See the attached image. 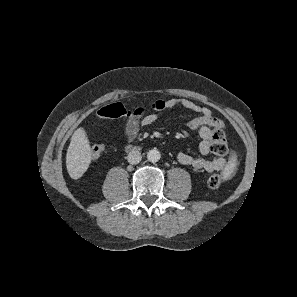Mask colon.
I'll use <instances>...</instances> for the list:
<instances>
[{
  "mask_svg": "<svg viewBox=\"0 0 297 297\" xmlns=\"http://www.w3.org/2000/svg\"><path fill=\"white\" fill-rule=\"evenodd\" d=\"M144 108L141 106L133 109L128 108L124 103L117 102L101 108L98 114L104 118H119L122 116H130L141 112ZM104 147L101 144L93 145L91 148L92 159H97L103 153ZM211 151L217 156H224L227 154L228 146L223 129L220 125L214 128L212 136ZM222 178L218 174H213L207 179V184L212 189H217L221 186Z\"/></svg>",
  "mask_w": 297,
  "mask_h": 297,
  "instance_id": "5ec220e1",
  "label": "colon"
}]
</instances>
